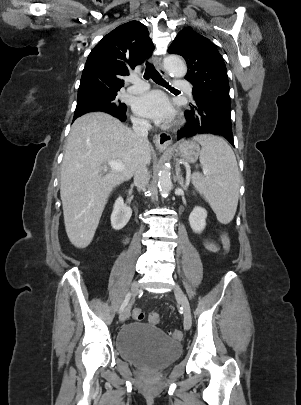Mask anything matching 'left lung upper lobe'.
<instances>
[{"label": "left lung upper lobe", "instance_id": "1", "mask_svg": "<svg viewBox=\"0 0 301 405\" xmlns=\"http://www.w3.org/2000/svg\"><path fill=\"white\" fill-rule=\"evenodd\" d=\"M187 62L186 80L193 85L195 102L231 108L226 66L216 46L191 28H183L168 49Z\"/></svg>", "mask_w": 301, "mask_h": 405}]
</instances>
